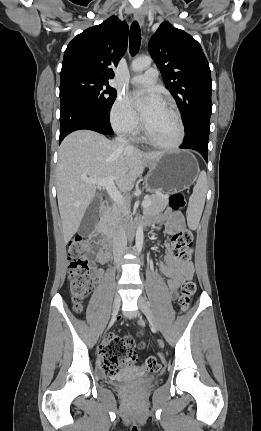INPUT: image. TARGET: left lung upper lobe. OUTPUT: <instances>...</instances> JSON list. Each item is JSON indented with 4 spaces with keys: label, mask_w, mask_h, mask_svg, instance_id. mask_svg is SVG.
I'll return each instance as SVG.
<instances>
[{
    "label": "left lung upper lobe",
    "mask_w": 261,
    "mask_h": 431,
    "mask_svg": "<svg viewBox=\"0 0 261 431\" xmlns=\"http://www.w3.org/2000/svg\"><path fill=\"white\" fill-rule=\"evenodd\" d=\"M148 50L180 109L185 131L200 119H210L211 73L200 44L163 22L150 39Z\"/></svg>",
    "instance_id": "1"
}]
</instances>
